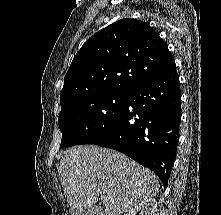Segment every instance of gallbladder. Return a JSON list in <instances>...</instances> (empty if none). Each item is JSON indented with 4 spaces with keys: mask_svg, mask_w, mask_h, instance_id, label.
I'll list each match as a JSON object with an SVG mask.
<instances>
[{
    "mask_svg": "<svg viewBox=\"0 0 221 215\" xmlns=\"http://www.w3.org/2000/svg\"><path fill=\"white\" fill-rule=\"evenodd\" d=\"M102 212L101 207L92 205L84 210V215H101Z\"/></svg>",
    "mask_w": 221,
    "mask_h": 215,
    "instance_id": "gallbladder-1",
    "label": "gallbladder"
}]
</instances>
